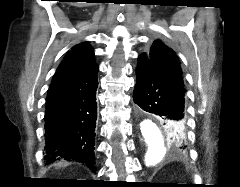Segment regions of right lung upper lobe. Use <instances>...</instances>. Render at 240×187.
<instances>
[{
  "label": "right lung upper lobe",
  "mask_w": 240,
  "mask_h": 187,
  "mask_svg": "<svg viewBox=\"0 0 240 187\" xmlns=\"http://www.w3.org/2000/svg\"><path fill=\"white\" fill-rule=\"evenodd\" d=\"M94 66H97L94 51L89 43L83 42L66 55L54 74L51 85Z\"/></svg>",
  "instance_id": "obj_1"
}]
</instances>
